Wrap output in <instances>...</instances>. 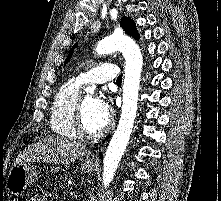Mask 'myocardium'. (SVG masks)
<instances>
[{"instance_id":"myocardium-1","label":"myocardium","mask_w":221,"mask_h":201,"mask_svg":"<svg viewBox=\"0 0 221 201\" xmlns=\"http://www.w3.org/2000/svg\"><path fill=\"white\" fill-rule=\"evenodd\" d=\"M111 127H112V120L109 119L106 126L99 132L96 133L88 132L84 126V121H83V99L78 100L74 115V128L77 136L88 140L98 139L102 137L104 134H106L111 129Z\"/></svg>"}]
</instances>
